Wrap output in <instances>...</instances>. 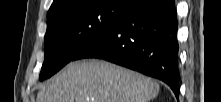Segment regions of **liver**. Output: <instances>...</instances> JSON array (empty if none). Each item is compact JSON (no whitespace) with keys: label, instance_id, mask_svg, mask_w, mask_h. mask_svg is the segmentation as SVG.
Here are the masks:
<instances>
[{"label":"liver","instance_id":"obj_1","mask_svg":"<svg viewBox=\"0 0 221 102\" xmlns=\"http://www.w3.org/2000/svg\"><path fill=\"white\" fill-rule=\"evenodd\" d=\"M151 78L103 60L70 63L37 95V102H149L159 93Z\"/></svg>","mask_w":221,"mask_h":102}]
</instances>
